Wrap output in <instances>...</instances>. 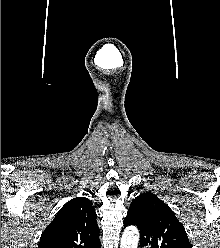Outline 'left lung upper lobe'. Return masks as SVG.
<instances>
[{
	"instance_id": "obj_1",
	"label": "left lung upper lobe",
	"mask_w": 220,
	"mask_h": 248,
	"mask_svg": "<svg viewBox=\"0 0 220 248\" xmlns=\"http://www.w3.org/2000/svg\"><path fill=\"white\" fill-rule=\"evenodd\" d=\"M136 225L140 229L141 247L192 248L184 226L173 211L150 192L140 194L131 203L124 227Z\"/></svg>"
}]
</instances>
